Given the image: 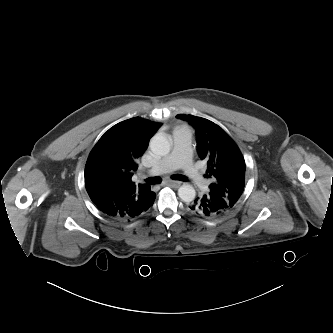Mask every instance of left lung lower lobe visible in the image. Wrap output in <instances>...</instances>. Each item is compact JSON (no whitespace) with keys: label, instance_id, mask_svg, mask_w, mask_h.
<instances>
[{"label":"left lung lower lobe","instance_id":"obj_1","mask_svg":"<svg viewBox=\"0 0 333 333\" xmlns=\"http://www.w3.org/2000/svg\"><path fill=\"white\" fill-rule=\"evenodd\" d=\"M190 209L202 216L215 218L228 212L231 207L224 198L207 193L191 202Z\"/></svg>","mask_w":333,"mask_h":333}]
</instances>
